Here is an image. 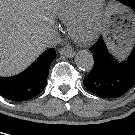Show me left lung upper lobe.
I'll return each mask as SVG.
<instances>
[{"mask_svg": "<svg viewBox=\"0 0 135 135\" xmlns=\"http://www.w3.org/2000/svg\"><path fill=\"white\" fill-rule=\"evenodd\" d=\"M120 3L125 4V5H130L131 1L135 2V0H118Z\"/></svg>", "mask_w": 135, "mask_h": 135, "instance_id": "obj_1", "label": "left lung upper lobe"}]
</instances>
